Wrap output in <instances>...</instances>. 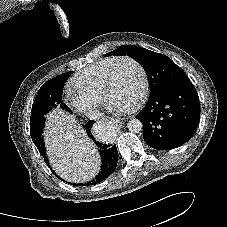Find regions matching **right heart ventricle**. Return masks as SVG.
I'll use <instances>...</instances> for the list:
<instances>
[{
	"label": "right heart ventricle",
	"instance_id": "obj_1",
	"mask_svg": "<svg viewBox=\"0 0 227 227\" xmlns=\"http://www.w3.org/2000/svg\"><path fill=\"white\" fill-rule=\"evenodd\" d=\"M118 57H105L87 66L71 80L75 92L101 100L103 85L109 69Z\"/></svg>",
	"mask_w": 227,
	"mask_h": 227
}]
</instances>
